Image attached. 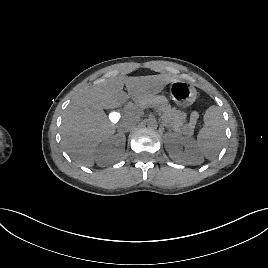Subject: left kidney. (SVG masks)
Returning a JSON list of instances; mask_svg holds the SVG:
<instances>
[{"label":"left kidney","mask_w":268,"mask_h":268,"mask_svg":"<svg viewBox=\"0 0 268 268\" xmlns=\"http://www.w3.org/2000/svg\"><path fill=\"white\" fill-rule=\"evenodd\" d=\"M182 146L185 147L184 151ZM165 148L172 160L188 165H196L203 162V157L191 137L168 132L165 134Z\"/></svg>","instance_id":"1"}]
</instances>
